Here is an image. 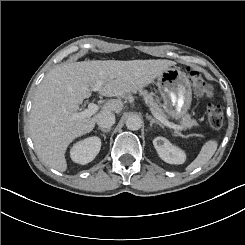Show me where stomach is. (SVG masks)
Masks as SVG:
<instances>
[{"instance_id":"obj_1","label":"stomach","mask_w":245,"mask_h":245,"mask_svg":"<svg viewBox=\"0 0 245 245\" xmlns=\"http://www.w3.org/2000/svg\"><path fill=\"white\" fill-rule=\"evenodd\" d=\"M157 86L164 100L165 112L174 119L186 115L191 105V84L184 72L168 67L157 76Z\"/></svg>"}]
</instances>
